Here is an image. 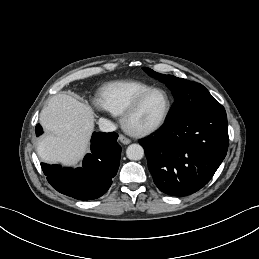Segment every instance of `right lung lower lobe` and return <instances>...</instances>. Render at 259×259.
Returning a JSON list of instances; mask_svg holds the SVG:
<instances>
[{"label": "right lung lower lobe", "instance_id": "right-lung-lower-lobe-1", "mask_svg": "<svg viewBox=\"0 0 259 259\" xmlns=\"http://www.w3.org/2000/svg\"><path fill=\"white\" fill-rule=\"evenodd\" d=\"M36 135L42 134V127L35 128ZM118 135L93 133L91 154H87L83 167L75 170L59 165L42 163V170L48 182L60 193L79 200L96 199L107 192L120 165L121 147L116 142Z\"/></svg>", "mask_w": 259, "mask_h": 259}]
</instances>
